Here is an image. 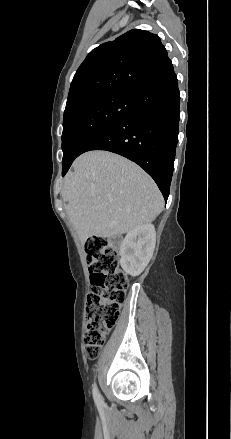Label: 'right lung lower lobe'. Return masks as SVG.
Masks as SVG:
<instances>
[{"label":"right lung lower lobe","mask_w":231,"mask_h":439,"mask_svg":"<svg viewBox=\"0 0 231 439\" xmlns=\"http://www.w3.org/2000/svg\"><path fill=\"white\" fill-rule=\"evenodd\" d=\"M136 109L92 135L79 155L107 150L141 166L167 200L179 129L180 95L174 70L134 92ZM71 164L63 169L64 176Z\"/></svg>","instance_id":"98d812e1"}]
</instances>
